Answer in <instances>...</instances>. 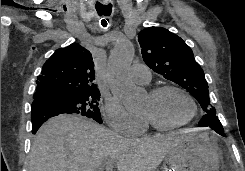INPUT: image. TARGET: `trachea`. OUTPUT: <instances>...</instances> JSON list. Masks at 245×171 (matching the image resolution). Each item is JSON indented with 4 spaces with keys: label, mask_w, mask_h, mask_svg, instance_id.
<instances>
[{
    "label": "trachea",
    "mask_w": 245,
    "mask_h": 171,
    "mask_svg": "<svg viewBox=\"0 0 245 171\" xmlns=\"http://www.w3.org/2000/svg\"><path fill=\"white\" fill-rule=\"evenodd\" d=\"M96 10L98 15L101 17V25L102 27H107L109 20L106 18L107 16H110L112 12V5H105L100 2L96 3Z\"/></svg>",
    "instance_id": "trachea-1"
}]
</instances>
